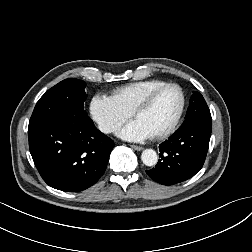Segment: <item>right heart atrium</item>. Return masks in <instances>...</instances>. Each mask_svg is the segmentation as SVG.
Wrapping results in <instances>:
<instances>
[{"mask_svg":"<svg viewBox=\"0 0 252 252\" xmlns=\"http://www.w3.org/2000/svg\"><path fill=\"white\" fill-rule=\"evenodd\" d=\"M89 113L98 128L104 133H115L132 116L111 96L95 94L89 102Z\"/></svg>","mask_w":252,"mask_h":252,"instance_id":"1","label":"right heart atrium"}]
</instances>
